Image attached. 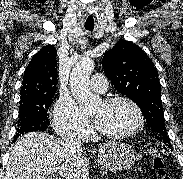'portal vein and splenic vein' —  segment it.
<instances>
[{
	"instance_id": "18ae733b",
	"label": "portal vein and splenic vein",
	"mask_w": 183,
	"mask_h": 179,
	"mask_svg": "<svg viewBox=\"0 0 183 179\" xmlns=\"http://www.w3.org/2000/svg\"><path fill=\"white\" fill-rule=\"evenodd\" d=\"M50 179H58V178L57 177H53V178L51 177Z\"/></svg>"
}]
</instances>
